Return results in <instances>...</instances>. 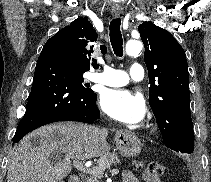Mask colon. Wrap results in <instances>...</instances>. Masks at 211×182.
<instances>
[{"label": "colon", "mask_w": 211, "mask_h": 182, "mask_svg": "<svg viewBox=\"0 0 211 182\" xmlns=\"http://www.w3.org/2000/svg\"><path fill=\"white\" fill-rule=\"evenodd\" d=\"M165 172L164 166L160 162H151L143 173L146 182H161V177Z\"/></svg>", "instance_id": "colon-1"}]
</instances>
